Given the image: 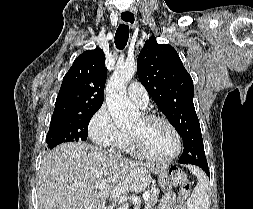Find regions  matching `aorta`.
<instances>
[{
  "mask_svg": "<svg viewBox=\"0 0 253 209\" xmlns=\"http://www.w3.org/2000/svg\"><path fill=\"white\" fill-rule=\"evenodd\" d=\"M136 68L135 61L117 64L106 86L107 107L118 128L130 126L139 115L126 94L127 84L134 76Z\"/></svg>",
  "mask_w": 253,
  "mask_h": 209,
  "instance_id": "1",
  "label": "aorta"
}]
</instances>
